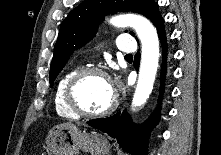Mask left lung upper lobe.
Instances as JSON below:
<instances>
[{
	"instance_id": "1",
	"label": "left lung upper lobe",
	"mask_w": 221,
	"mask_h": 155,
	"mask_svg": "<svg viewBox=\"0 0 221 155\" xmlns=\"http://www.w3.org/2000/svg\"><path fill=\"white\" fill-rule=\"evenodd\" d=\"M158 6L154 0H84L62 22L54 47L49 75L50 86L65 66L69 56L86 44L97 32L105 15L131 11L149 17ZM134 36V33L131 32Z\"/></svg>"
}]
</instances>
